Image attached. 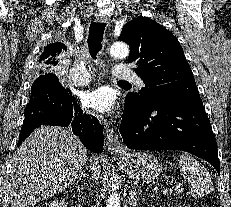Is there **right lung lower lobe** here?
<instances>
[{
  "label": "right lung lower lobe",
  "instance_id": "1",
  "mask_svg": "<svg viewBox=\"0 0 231 207\" xmlns=\"http://www.w3.org/2000/svg\"><path fill=\"white\" fill-rule=\"evenodd\" d=\"M41 125H70L86 148L92 152H102V126L96 118L83 113L71 91L63 88L54 74L41 75L32 84L18 146Z\"/></svg>",
  "mask_w": 231,
  "mask_h": 207
}]
</instances>
